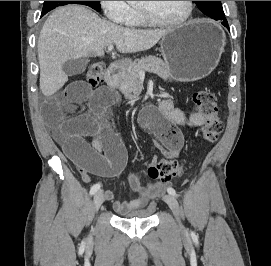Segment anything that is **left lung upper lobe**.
I'll return each mask as SVG.
<instances>
[{
  "mask_svg": "<svg viewBox=\"0 0 271 266\" xmlns=\"http://www.w3.org/2000/svg\"><path fill=\"white\" fill-rule=\"evenodd\" d=\"M201 12L214 20H224L225 15L221 1H194Z\"/></svg>",
  "mask_w": 271,
  "mask_h": 266,
  "instance_id": "1",
  "label": "left lung upper lobe"
}]
</instances>
